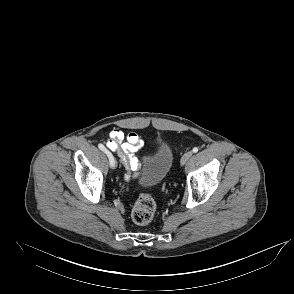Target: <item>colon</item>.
Instances as JSON below:
<instances>
[{
  "label": "colon",
  "mask_w": 294,
  "mask_h": 294,
  "mask_svg": "<svg viewBox=\"0 0 294 294\" xmlns=\"http://www.w3.org/2000/svg\"><path fill=\"white\" fill-rule=\"evenodd\" d=\"M156 211V204L149 193H141L132 209V220L135 224L144 226L152 221Z\"/></svg>",
  "instance_id": "5ec220e1"
}]
</instances>
